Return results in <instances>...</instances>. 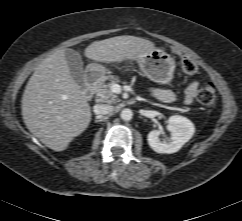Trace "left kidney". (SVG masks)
Returning <instances> with one entry per match:
<instances>
[{
    "label": "left kidney",
    "instance_id": "left-kidney-1",
    "mask_svg": "<svg viewBox=\"0 0 242 221\" xmlns=\"http://www.w3.org/2000/svg\"><path fill=\"white\" fill-rule=\"evenodd\" d=\"M168 131L171 137L161 141L159 130H152L147 136L149 146L157 153L172 154L179 151L195 133L194 124L186 117L174 115L168 120Z\"/></svg>",
    "mask_w": 242,
    "mask_h": 221
}]
</instances>
